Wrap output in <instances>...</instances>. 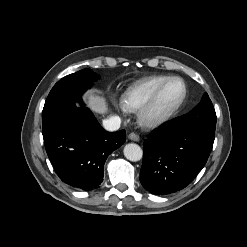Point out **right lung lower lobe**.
Instances as JSON below:
<instances>
[{"label":"right lung lower lobe","instance_id":"1","mask_svg":"<svg viewBox=\"0 0 247 247\" xmlns=\"http://www.w3.org/2000/svg\"><path fill=\"white\" fill-rule=\"evenodd\" d=\"M48 157L60 179L82 190L103 181L107 157L125 142V130L109 133L86 107H72L43 121Z\"/></svg>","mask_w":247,"mask_h":247}]
</instances>
